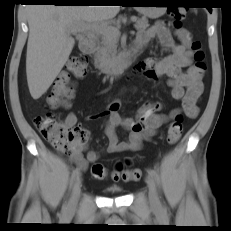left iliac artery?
Here are the masks:
<instances>
[{"label": "left iliac artery", "mask_w": 231, "mask_h": 231, "mask_svg": "<svg viewBox=\"0 0 231 231\" xmlns=\"http://www.w3.org/2000/svg\"><path fill=\"white\" fill-rule=\"evenodd\" d=\"M148 174H149L151 177H153L155 180L158 179L157 173H156V171H155L154 169L149 168V169H148Z\"/></svg>", "instance_id": "44dca946"}]
</instances>
